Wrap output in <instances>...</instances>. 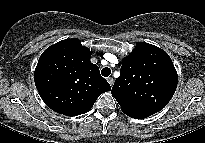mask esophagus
Segmentation results:
<instances>
[{"label": "esophagus", "instance_id": "obj_1", "mask_svg": "<svg viewBox=\"0 0 205 143\" xmlns=\"http://www.w3.org/2000/svg\"><path fill=\"white\" fill-rule=\"evenodd\" d=\"M107 81H108V83L110 84V86L112 87V86H113V83H114L113 78H112V77H108V78H107Z\"/></svg>", "mask_w": 205, "mask_h": 143}]
</instances>
